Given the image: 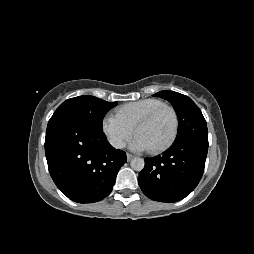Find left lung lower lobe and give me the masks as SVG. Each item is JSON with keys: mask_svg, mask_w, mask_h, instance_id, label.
<instances>
[{"mask_svg": "<svg viewBox=\"0 0 254 254\" xmlns=\"http://www.w3.org/2000/svg\"><path fill=\"white\" fill-rule=\"evenodd\" d=\"M208 151V134L175 140L162 155L146 158L138 183L152 200L177 202L198 185Z\"/></svg>", "mask_w": 254, "mask_h": 254, "instance_id": "obj_1", "label": "left lung lower lobe"}]
</instances>
